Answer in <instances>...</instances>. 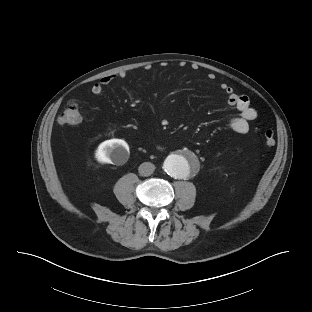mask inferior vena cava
<instances>
[{
  "instance_id": "602c4592",
  "label": "inferior vena cava",
  "mask_w": 312,
  "mask_h": 312,
  "mask_svg": "<svg viewBox=\"0 0 312 312\" xmlns=\"http://www.w3.org/2000/svg\"><path fill=\"white\" fill-rule=\"evenodd\" d=\"M138 170L141 176H150L155 170V165L151 162H144L139 166Z\"/></svg>"
}]
</instances>
